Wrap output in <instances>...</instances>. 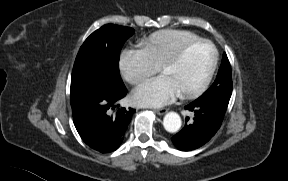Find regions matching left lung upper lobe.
<instances>
[{
    "label": "left lung upper lobe",
    "instance_id": "left-lung-upper-lobe-1",
    "mask_svg": "<svg viewBox=\"0 0 288 181\" xmlns=\"http://www.w3.org/2000/svg\"><path fill=\"white\" fill-rule=\"evenodd\" d=\"M232 94L231 66L227 55L224 53L222 63L215 82L196 102L213 103L223 109H227Z\"/></svg>",
    "mask_w": 288,
    "mask_h": 181
}]
</instances>
